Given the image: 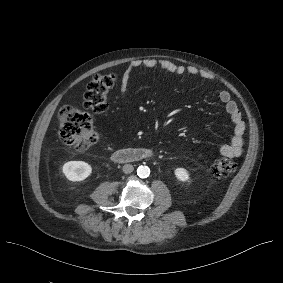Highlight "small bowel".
Here are the masks:
<instances>
[{"label": "small bowel", "instance_id": "1", "mask_svg": "<svg viewBox=\"0 0 283 283\" xmlns=\"http://www.w3.org/2000/svg\"><path fill=\"white\" fill-rule=\"evenodd\" d=\"M161 68L172 74L191 76H200L206 80H213L214 77L208 72L199 71L194 66L185 67L176 64L168 59L145 58L131 61L123 72L120 84V93L122 101H125L127 87L134 70L138 68ZM219 100L223 103L226 112L230 116L233 124V136L230 143L222 144L218 148V152L226 158L239 157L243 152L245 123L242 120L241 112L237 103L232 99L231 94L227 90H221L218 93Z\"/></svg>", "mask_w": 283, "mask_h": 283}]
</instances>
